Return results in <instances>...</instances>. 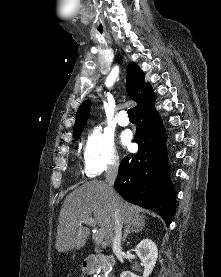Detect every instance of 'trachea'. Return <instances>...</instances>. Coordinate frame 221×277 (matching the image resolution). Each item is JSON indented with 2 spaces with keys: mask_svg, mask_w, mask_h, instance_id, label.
I'll return each instance as SVG.
<instances>
[{
  "mask_svg": "<svg viewBox=\"0 0 221 277\" xmlns=\"http://www.w3.org/2000/svg\"><path fill=\"white\" fill-rule=\"evenodd\" d=\"M128 117L129 119H135L134 111L132 108L128 110Z\"/></svg>",
  "mask_w": 221,
  "mask_h": 277,
  "instance_id": "1",
  "label": "trachea"
}]
</instances>
